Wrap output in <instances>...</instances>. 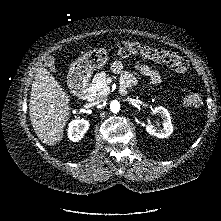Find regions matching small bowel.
I'll return each mask as SVG.
<instances>
[{
  "label": "small bowel",
  "mask_w": 221,
  "mask_h": 221,
  "mask_svg": "<svg viewBox=\"0 0 221 221\" xmlns=\"http://www.w3.org/2000/svg\"><path fill=\"white\" fill-rule=\"evenodd\" d=\"M112 70L115 73L121 74V85L123 87H130L136 83L133 75L127 70L126 66L121 61H115L112 64ZM134 68L143 76L147 77L152 84H159L161 82L160 73L147 64H136Z\"/></svg>",
  "instance_id": "obj_1"
}]
</instances>
